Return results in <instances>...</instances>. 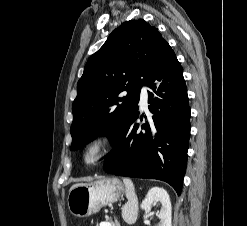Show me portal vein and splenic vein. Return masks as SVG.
<instances>
[{"label": "portal vein and splenic vein", "mask_w": 247, "mask_h": 226, "mask_svg": "<svg viewBox=\"0 0 247 226\" xmlns=\"http://www.w3.org/2000/svg\"><path fill=\"white\" fill-rule=\"evenodd\" d=\"M103 226H111L110 223H105Z\"/></svg>", "instance_id": "portal-vein-and-splenic-vein-1"}]
</instances>
